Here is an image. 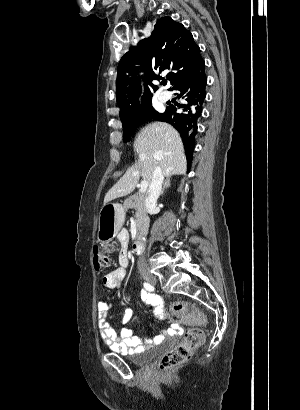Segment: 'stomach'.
<instances>
[{"instance_id": "obj_1", "label": "stomach", "mask_w": 300, "mask_h": 410, "mask_svg": "<svg viewBox=\"0 0 300 410\" xmlns=\"http://www.w3.org/2000/svg\"><path fill=\"white\" fill-rule=\"evenodd\" d=\"M125 220V210L121 204L108 203L100 210L98 240L106 241L114 238Z\"/></svg>"}]
</instances>
